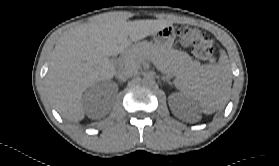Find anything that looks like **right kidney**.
Masks as SVG:
<instances>
[{"label": "right kidney", "mask_w": 279, "mask_h": 166, "mask_svg": "<svg viewBox=\"0 0 279 166\" xmlns=\"http://www.w3.org/2000/svg\"><path fill=\"white\" fill-rule=\"evenodd\" d=\"M118 91V87L112 88L111 85L108 84H100L91 87L86 91L84 96V102L87 105L95 106L97 105L101 95H115Z\"/></svg>", "instance_id": "1"}]
</instances>
